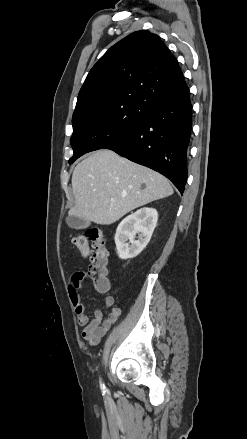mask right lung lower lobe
Here are the masks:
<instances>
[{
    "label": "right lung lower lobe",
    "instance_id": "98d812e1",
    "mask_svg": "<svg viewBox=\"0 0 247 439\" xmlns=\"http://www.w3.org/2000/svg\"><path fill=\"white\" fill-rule=\"evenodd\" d=\"M191 110L189 90L162 99L149 107L131 132L107 149L163 174L181 191L187 180Z\"/></svg>",
    "mask_w": 247,
    "mask_h": 439
}]
</instances>
